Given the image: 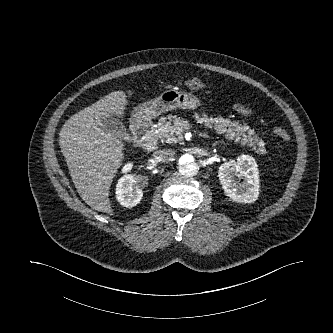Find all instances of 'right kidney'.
Wrapping results in <instances>:
<instances>
[{
    "instance_id": "ca27d5eb",
    "label": "right kidney",
    "mask_w": 333,
    "mask_h": 333,
    "mask_svg": "<svg viewBox=\"0 0 333 333\" xmlns=\"http://www.w3.org/2000/svg\"><path fill=\"white\" fill-rule=\"evenodd\" d=\"M132 166L131 163L125 165V171H130ZM143 185L142 178L137 175L128 174L123 176L116 186V198L118 202L124 207L136 206L142 199Z\"/></svg>"
}]
</instances>
